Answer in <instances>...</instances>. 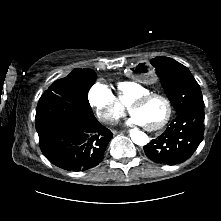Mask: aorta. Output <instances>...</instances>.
Masks as SVG:
<instances>
[{"instance_id": "1", "label": "aorta", "mask_w": 221, "mask_h": 221, "mask_svg": "<svg viewBox=\"0 0 221 221\" xmlns=\"http://www.w3.org/2000/svg\"><path fill=\"white\" fill-rule=\"evenodd\" d=\"M130 137L133 143L139 146H144L149 142L148 136L144 132L138 130L137 128L130 130Z\"/></svg>"}]
</instances>
